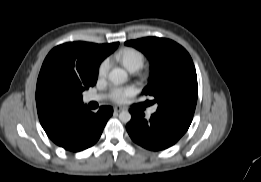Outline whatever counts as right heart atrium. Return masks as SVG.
<instances>
[{
  "label": "right heart atrium",
  "instance_id": "right-heart-atrium-1",
  "mask_svg": "<svg viewBox=\"0 0 261 182\" xmlns=\"http://www.w3.org/2000/svg\"><path fill=\"white\" fill-rule=\"evenodd\" d=\"M109 67H110V63L107 59L103 60L100 63V65L98 67V71H97V76H98L99 79L106 77V75L109 71Z\"/></svg>",
  "mask_w": 261,
  "mask_h": 182
}]
</instances>
